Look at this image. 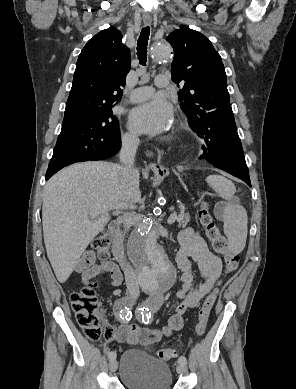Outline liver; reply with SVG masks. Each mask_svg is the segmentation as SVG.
<instances>
[{"instance_id": "6515ba94", "label": "liver", "mask_w": 296, "mask_h": 389, "mask_svg": "<svg viewBox=\"0 0 296 389\" xmlns=\"http://www.w3.org/2000/svg\"><path fill=\"white\" fill-rule=\"evenodd\" d=\"M119 168L107 162L77 163L46 183L44 243L60 283L69 278L89 243L104 230L111 218L109 211L117 204L140 200L139 172L126 179Z\"/></svg>"}]
</instances>
